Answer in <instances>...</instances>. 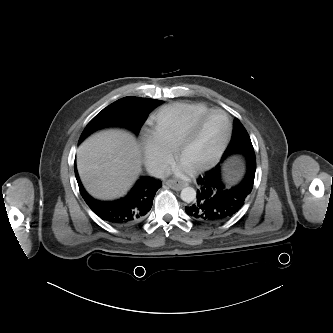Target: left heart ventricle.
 Returning a JSON list of instances; mask_svg holds the SVG:
<instances>
[{"instance_id": "obj_1", "label": "left heart ventricle", "mask_w": 333, "mask_h": 333, "mask_svg": "<svg viewBox=\"0 0 333 333\" xmlns=\"http://www.w3.org/2000/svg\"><path fill=\"white\" fill-rule=\"evenodd\" d=\"M227 131V120L219 113L212 114L205 119L195 135L179 157V162L192 169L209 161Z\"/></svg>"}]
</instances>
